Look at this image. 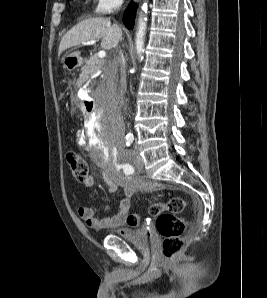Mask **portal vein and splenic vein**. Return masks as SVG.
<instances>
[{"label": "portal vein and splenic vein", "mask_w": 267, "mask_h": 298, "mask_svg": "<svg viewBox=\"0 0 267 298\" xmlns=\"http://www.w3.org/2000/svg\"><path fill=\"white\" fill-rule=\"evenodd\" d=\"M95 43H96L95 40H89V41L85 42L84 44L85 45H93ZM105 56H106V52L104 50L99 51V53H98L99 58H104Z\"/></svg>", "instance_id": "1"}]
</instances>
